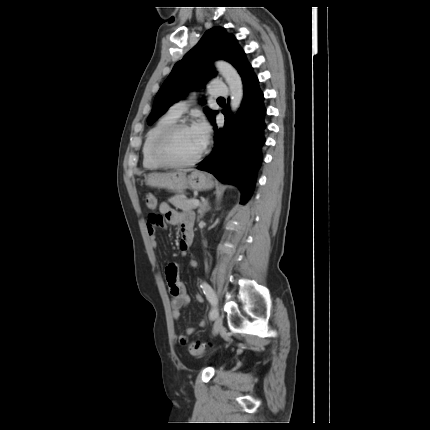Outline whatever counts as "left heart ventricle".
<instances>
[{
  "label": "left heart ventricle",
  "instance_id": "obj_1",
  "mask_svg": "<svg viewBox=\"0 0 430 430\" xmlns=\"http://www.w3.org/2000/svg\"><path fill=\"white\" fill-rule=\"evenodd\" d=\"M203 147L191 128L179 130L171 139L167 151L176 160H189L197 156Z\"/></svg>",
  "mask_w": 430,
  "mask_h": 430
}]
</instances>
